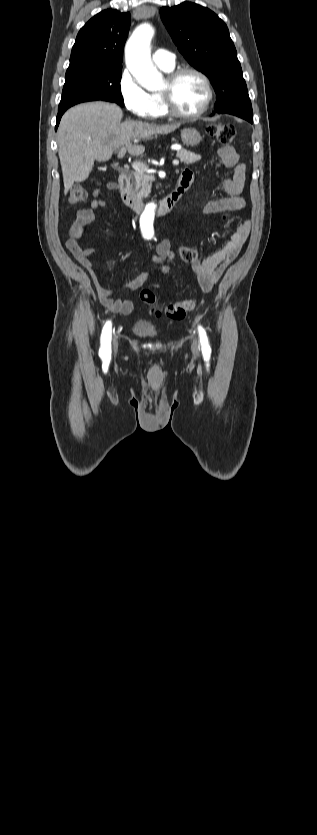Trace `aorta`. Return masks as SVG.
I'll return each mask as SVG.
<instances>
[{
  "label": "aorta",
  "mask_w": 317,
  "mask_h": 835,
  "mask_svg": "<svg viewBox=\"0 0 317 835\" xmlns=\"http://www.w3.org/2000/svg\"><path fill=\"white\" fill-rule=\"evenodd\" d=\"M154 35V28L149 23L137 27L128 39L125 46V61L127 68L136 81L147 90H156L163 84L162 74L153 65L151 60V41ZM155 218V206L148 205L141 217L143 231L148 228L151 232V224Z\"/></svg>",
  "instance_id": "762f6f07"
}]
</instances>
